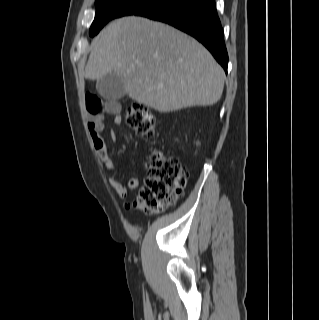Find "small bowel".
<instances>
[{
    "instance_id": "1",
    "label": "small bowel",
    "mask_w": 319,
    "mask_h": 320,
    "mask_svg": "<svg viewBox=\"0 0 319 320\" xmlns=\"http://www.w3.org/2000/svg\"><path fill=\"white\" fill-rule=\"evenodd\" d=\"M86 111L89 117L88 119V130L90 133L91 141L96 149L99 158L105 163L106 167L112 171H116V166L109 156V149L106 140L104 139L102 132L105 129L103 122L104 113L113 115V121L115 124H120L122 118L120 115V108L116 103L108 102L104 106L102 111V102L96 96L91 94L86 95ZM110 138L112 141L117 139L115 131L110 132ZM109 184L114 189L119 197H124L128 190H134L139 186V179L137 177H131L128 179L126 185L121 181L110 177L108 179Z\"/></svg>"
}]
</instances>
